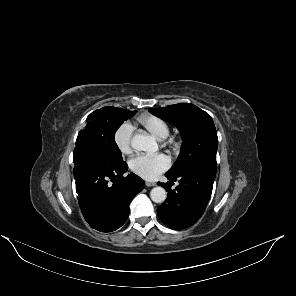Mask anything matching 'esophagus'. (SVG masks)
Segmentation results:
<instances>
[{"mask_svg":"<svg viewBox=\"0 0 296 296\" xmlns=\"http://www.w3.org/2000/svg\"><path fill=\"white\" fill-rule=\"evenodd\" d=\"M145 184H146L147 187H152V186L156 185L155 182H150V181H146Z\"/></svg>","mask_w":296,"mask_h":296,"instance_id":"1","label":"esophagus"}]
</instances>
